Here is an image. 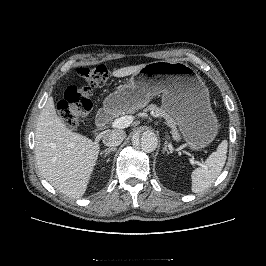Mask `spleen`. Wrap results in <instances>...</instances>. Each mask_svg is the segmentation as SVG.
<instances>
[{
    "instance_id": "3e777b00",
    "label": "spleen",
    "mask_w": 266,
    "mask_h": 266,
    "mask_svg": "<svg viewBox=\"0 0 266 266\" xmlns=\"http://www.w3.org/2000/svg\"><path fill=\"white\" fill-rule=\"evenodd\" d=\"M227 140H223L216 151L210 154L205 164L191 173L192 192L201 193L208 189L220 175L227 158Z\"/></svg>"
}]
</instances>
